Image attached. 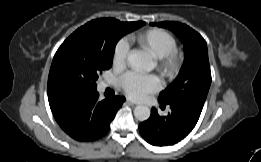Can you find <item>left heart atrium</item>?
Wrapping results in <instances>:
<instances>
[{"mask_svg":"<svg viewBox=\"0 0 261 162\" xmlns=\"http://www.w3.org/2000/svg\"><path fill=\"white\" fill-rule=\"evenodd\" d=\"M119 86L131 99L141 100L148 94L158 91L161 88V81L155 75L129 72L119 79Z\"/></svg>","mask_w":261,"mask_h":162,"instance_id":"left-heart-atrium-1","label":"left heart atrium"}]
</instances>
